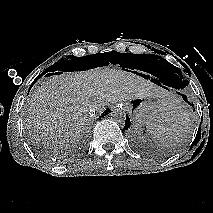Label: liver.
<instances>
[{
    "instance_id": "1",
    "label": "liver",
    "mask_w": 213,
    "mask_h": 213,
    "mask_svg": "<svg viewBox=\"0 0 213 213\" xmlns=\"http://www.w3.org/2000/svg\"><path fill=\"white\" fill-rule=\"evenodd\" d=\"M158 98L166 105L171 96L149 80L118 69H92L53 76L35 89L26 115L37 141L54 149L76 142L91 121V112L136 98Z\"/></svg>"
}]
</instances>
